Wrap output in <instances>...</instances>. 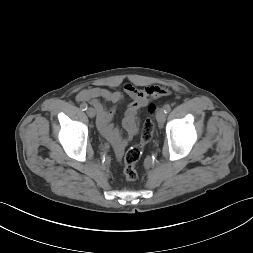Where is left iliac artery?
Segmentation results:
<instances>
[{
	"label": "left iliac artery",
	"mask_w": 253,
	"mask_h": 253,
	"mask_svg": "<svg viewBox=\"0 0 253 253\" xmlns=\"http://www.w3.org/2000/svg\"><path fill=\"white\" fill-rule=\"evenodd\" d=\"M163 109H164V112H165V113H168V112H170V110H171V106L167 104V105L164 106Z\"/></svg>",
	"instance_id": "44dca946"
}]
</instances>
